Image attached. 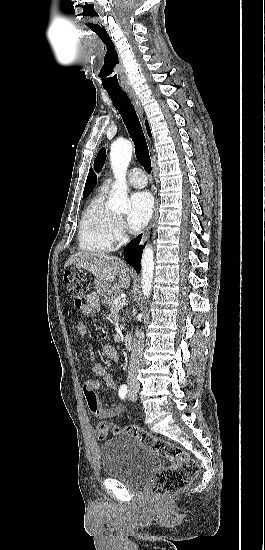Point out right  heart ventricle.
I'll return each instance as SVG.
<instances>
[{
	"instance_id": "1",
	"label": "right heart ventricle",
	"mask_w": 265,
	"mask_h": 550,
	"mask_svg": "<svg viewBox=\"0 0 265 550\" xmlns=\"http://www.w3.org/2000/svg\"><path fill=\"white\" fill-rule=\"evenodd\" d=\"M107 190L101 188L85 208L78 230V245L83 251L107 252L116 239V216L105 204Z\"/></svg>"
}]
</instances>
